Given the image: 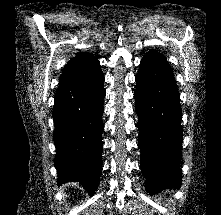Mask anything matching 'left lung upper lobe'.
<instances>
[{
	"mask_svg": "<svg viewBox=\"0 0 221 215\" xmlns=\"http://www.w3.org/2000/svg\"><path fill=\"white\" fill-rule=\"evenodd\" d=\"M144 58H153V59H160L166 61V58L161 53H158L155 50L149 51L148 54L144 56Z\"/></svg>",
	"mask_w": 221,
	"mask_h": 215,
	"instance_id": "left-lung-upper-lobe-1",
	"label": "left lung upper lobe"
}]
</instances>
